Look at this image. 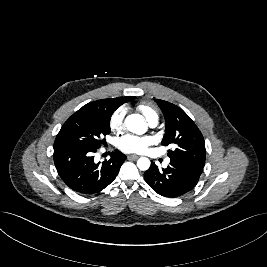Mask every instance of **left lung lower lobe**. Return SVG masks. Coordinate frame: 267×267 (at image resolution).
Listing matches in <instances>:
<instances>
[{"instance_id": "0a47b994", "label": "left lung lower lobe", "mask_w": 267, "mask_h": 267, "mask_svg": "<svg viewBox=\"0 0 267 267\" xmlns=\"http://www.w3.org/2000/svg\"><path fill=\"white\" fill-rule=\"evenodd\" d=\"M203 168L204 166L191 162L171 159L170 166L161 171L155 163H151L144 174V179L156 193L175 198L196 186Z\"/></svg>"}]
</instances>
